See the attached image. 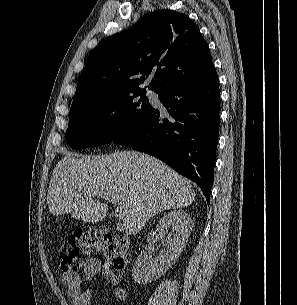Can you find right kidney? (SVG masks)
I'll return each mask as SVG.
<instances>
[{
  "label": "right kidney",
  "mask_w": 297,
  "mask_h": 305,
  "mask_svg": "<svg viewBox=\"0 0 297 305\" xmlns=\"http://www.w3.org/2000/svg\"><path fill=\"white\" fill-rule=\"evenodd\" d=\"M193 228L191 217L184 211L174 210L164 214L150 232L147 241L153 243L156 234L167 236V249L155 258L148 257L146 252H141L133 267L132 276L138 284H147L160 278L177 260L183 251Z\"/></svg>",
  "instance_id": "right-kidney-1"
}]
</instances>
